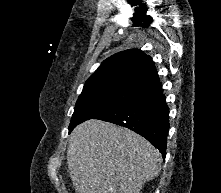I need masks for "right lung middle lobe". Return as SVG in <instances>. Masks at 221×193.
<instances>
[{
  "instance_id": "right-lung-middle-lobe-1",
  "label": "right lung middle lobe",
  "mask_w": 221,
  "mask_h": 193,
  "mask_svg": "<svg viewBox=\"0 0 221 193\" xmlns=\"http://www.w3.org/2000/svg\"><path fill=\"white\" fill-rule=\"evenodd\" d=\"M143 88L134 84L114 83L83 89L76 102L69 132L78 124L125 104Z\"/></svg>"
}]
</instances>
